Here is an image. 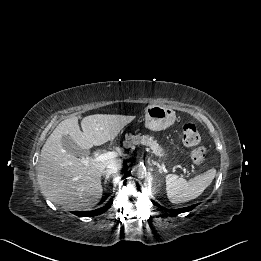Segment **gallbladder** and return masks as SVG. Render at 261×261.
<instances>
[{"label":"gallbladder","instance_id":"1","mask_svg":"<svg viewBox=\"0 0 261 261\" xmlns=\"http://www.w3.org/2000/svg\"><path fill=\"white\" fill-rule=\"evenodd\" d=\"M62 144L65 150L76 156H82L88 153L87 150L80 148L68 135L62 137Z\"/></svg>","mask_w":261,"mask_h":261}]
</instances>
